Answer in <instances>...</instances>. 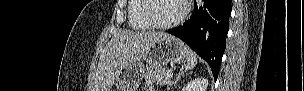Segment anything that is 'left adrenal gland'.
Here are the masks:
<instances>
[{
    "label": "left adrenal gland",
    "instance_id": "1",
    "mask_svg": "<svg viewBox=\"0 0 304 91\" xmlns=\"http://www.w3.org/2000/svg\"><path fill=\"white\" fill-rule=\"evenodd\" d=\"M183 77H184V72H183V71H181V72H179L178 74H176V78L168 83L167 91H169V90H170V87H171L172 85L176 84V83H177L181 78H183Z\"/></svg>",
    "mask_w": 304,
    "mask_h": 91
}]
</instances>
